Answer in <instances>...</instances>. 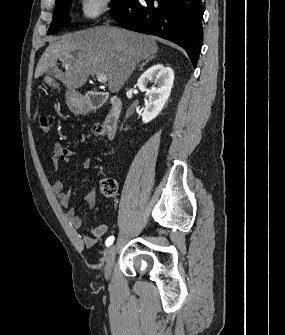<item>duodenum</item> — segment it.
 <instances>
[{"mask_svg": "<svg viewBox=\"0 0 285 335\" xmlns=\"http://www.w3.org/2000/svg\"><path fill=\"white\" fill-rule=\"evenodd\" d=\"M108 99L104 92H90L82 101L81 109L83 112H89L101 107ZM122 112L121 100L113 96L109 101V108L104 120V131L108 138H113L117 132Z\"/></svg>", "mask_w": 285, "mask_h": 335, "instance_id": "410a0bca", "label": "duodenum"}]
</instances>
